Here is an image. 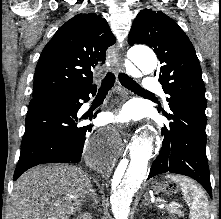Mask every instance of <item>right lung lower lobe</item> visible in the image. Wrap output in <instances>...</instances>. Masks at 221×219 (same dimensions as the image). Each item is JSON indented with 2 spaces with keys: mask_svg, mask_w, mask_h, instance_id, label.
<instances>
[{
  "mask_svg": "<svg viewBox=\"0 0 221 219\" xmlns=\"http://www.w3.org/2000/svg\"><path fill=\"white\" fill-rule=\"evenodd\" d=\"M96 88L33 98L30 101L21 154L14 172V180L29 168L43 163H77L81 160L85 140L88 141L92 125L82 126L77 112L82 101L95 95ZM96 117L90 115L89 119ZM87 146V143H86ZM93 156L98 158L102 147L92 145Z\"/></svg>",
  "mask_w": 221,
  "mask_h": 219,
  "instance_id": "right-lung-lower-lobe-1",
  "label": "right lung lower lobe"
}]
</instances>
